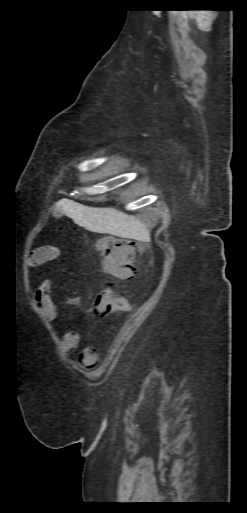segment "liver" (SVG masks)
<instances>
[{"label":"liver","mask_w":247,"mask_h":513,"mask_svg":"<svg viewBox=\"0 0 247 513\" xmlns=\"http://www.w3.org/2000/svg\"><path fill=\"white\" fill-rule=\"evenodd\" d=\"M55 211L62 212L71 218L75 224L91 232L108 233L136 240L150 239L149 230L137 217L128 215L116 208L88 207L64 198L56 203Z\"/></svg>","instance_id":"6515ba94"}]
</instances>
